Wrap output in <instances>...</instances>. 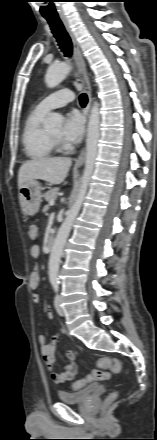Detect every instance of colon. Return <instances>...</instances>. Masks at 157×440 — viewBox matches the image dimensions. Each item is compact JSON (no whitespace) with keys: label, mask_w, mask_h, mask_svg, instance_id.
Listing matches in <instances>:
<instances>
[{"label":"colon","mask_w":157,"mask_h":440,"mask_svg":"<svg viewBox=\"0 0 157 440\" xmlns=\"http://www.w3.org/2000/svg\"><path fill=\"white\" fill-rule=\"evenodd\" d=\"M28 236L32 241L38 239L39 229L36 225L34 224L29 225ZM96 366L97 368L93 372L75 381L72 384V389L79 390L93 381L107 379L109 371H112L114 373H119L122 368L121 362L118 359L109 358V357H103L98 359ZM116 397H117V391H113L106 398V403L113 401Z\"/></svg>","instance_id":"5ec220e1"}]
</instances>
